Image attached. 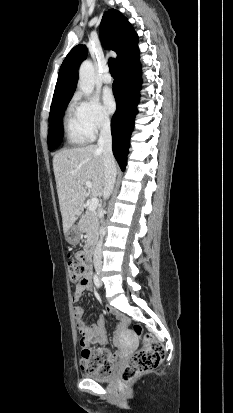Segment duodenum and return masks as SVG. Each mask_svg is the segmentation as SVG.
<instances>
[{"label":"duodenum","instance_id":"obj_1","mask_svg":"<svg viewBox=\"0 0 233 413\" xmlns=\"http://www.w3.org/2000/svg\"><path fill=\"white\" fill-rule=\"evenodd\" d=\"M92 250H93V243L91 241H89L86 246H85V250H84V257L86 260H89L91 254H92Z\"/></svg>","mask_w":233,"mask_h":413}]
</instances>
